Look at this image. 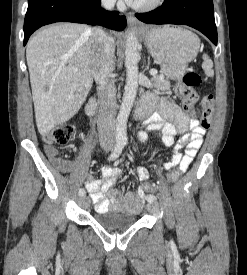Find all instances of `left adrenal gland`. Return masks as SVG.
Segmentation results:
<instances>
[{
	"mask_svg": "<svg viewBox=\"0 0 247 275\" xmlns=\"http://www.w3.org/2000/svg\"><path fill=\"white\" fill-rule=\"evenodd\" d=\"M147 69H149V63H148Z\"/></svg>",
	"mask_w": 247,
	"mask_h": 275,
	"instance_id": "a2214340",
	"label": "left adrenal gland"
}]
</instances>
